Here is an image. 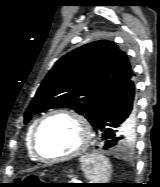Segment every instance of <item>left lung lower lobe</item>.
Segmentation results:
<instances>
[{
	"label": "left lung lower lobe",
	"instance_id": "1",
	"mask_svg": "<svg viewBox=\"0 0 160 187\" xmlns=\"http://www.w3.org/2000/svg\"><path fill=\"white\" fill-rule=\"evenodd\" d=\"M136 123L134 74L102 103L93 125L103 149H123ZM126 126L121 130V127Z\"/></svg>",
	"mask_w": 160,
	"mask_h": 187
}]
</instances>
